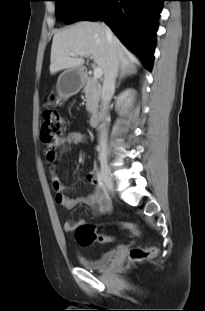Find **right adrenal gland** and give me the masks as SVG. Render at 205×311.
Masks as SVG:
<instances>
[{
  "label": "right adrenal gland",
  "instance_id": "obj_1",
  "mask_svg": "<svg viewBox=\"0 0 205 311\" xmlns=\"http://www.w3.org/2000/svg\"><path fill=\"white\" fill-rule=\"evenodd\" d=\"M137 72V69H136V67H133L132 69H126V70H122L121 71V73H120V76H119V80H118V83H117V88L120 86V82H121V80L124 78V77H126V76H128V75H132V74H134V73H136Z\"/></svg>",
  "mask_w": 205,
  "mask_h": 311
}]
</instances>
